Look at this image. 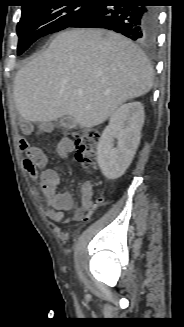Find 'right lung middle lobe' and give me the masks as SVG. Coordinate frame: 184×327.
Listing matches in <instances>:
<instances>
[{"instance_id": "dd1d6c3e", "label": "right lung middle lobe", "mask_w": 184, "mask_h": 327, "mask_svg": "<svg viewBox=\"0 0 184 327\" xmlns=\"http://www.w3.org/2000/svg\"><path fill=\"white\" fill-rule=\"evenodd\" d=\"M44 3L38 2L22 9V17L17 25L18 55L38 38L70 27L93 8V5L62 6Z\"/></svg>"}]
</instances>
